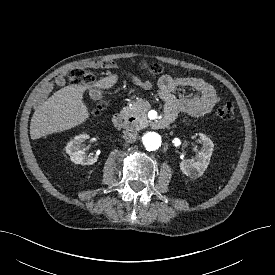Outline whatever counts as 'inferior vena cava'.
I'll return each mask as SVG.
<instances>
[{
	"label": "inferior vena cava",
	"mask_w": 275,
	"mask_h": 275,
	"mask_svg": "<svg viewBox=\"0 0 275 275\" xmlns=\"http://www.w3.org/2000/svg\"><path fill=\"white\" fill-rule=\"evenodd\" d=\"M123 138L126 142L132 143L137 139V129L135 127H128L123 132Z\"/></svg>",
	"instance_id": "1"
}]
</instances>
